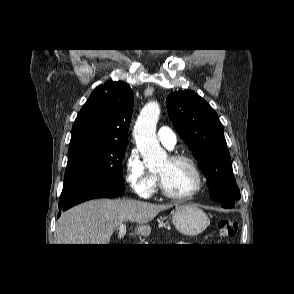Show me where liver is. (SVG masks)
I'll list each match as a JSON object with an SVG mask.
<instances>
[{"label":"liver","mask_w":294,"mask_h":294,"mask_svg":"<svg viewBox=\"0 0 294 294\" xmlns=\"http://www.w3.org/2000/svg\"><path fill=\"white\" fill-rule=\"evenodd\" d=\"M172 205L131 199H97L84 202L62 214L57 221L56 244H109L124 221L139 224L136 232L149 235L148 222Z\"/></svg>","instance_id":"6515ba94"}]
</instances>
